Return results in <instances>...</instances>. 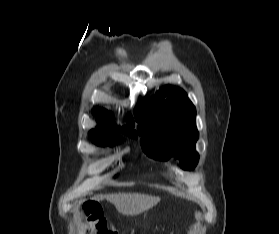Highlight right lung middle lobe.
Here are the masks:
<instances>
[{
	"instance_id": "dd1d6c3e",
	"label": "right lung middle lobe",
	"mask_w": 279,
	"mask_h": 234,
	"mask_svg": "<svg viewBox=\"0 0 279 234\" xmlns=\"http://www.w3.org/2000/svg\"><path fill=\"white\" fill-rule=\"evenodd\" d=\"M96 144H98V143H96ZM98 145H104V144H98Z\"/></svg>"
}]
</instances>
